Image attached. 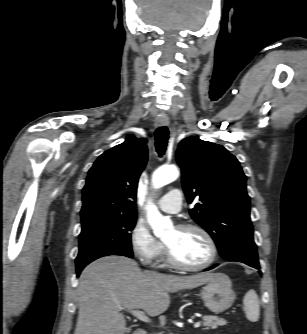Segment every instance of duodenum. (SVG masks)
<instances>
[{
	"instance_id": "duodenum-1",
	"label": "duodenum",
	"mask_w": 307,
	"mask_h": 334,
	"mask_svg": "<svg viewBox=\"0 0 307 334\" xmlns=\"http://www.w3.org/2000/svg\"><path fill=\"white\" fill-rule=\"evenodd\" d=\"M133 334H147L146 331L142 328H137L134 330Z\"/></svg>"
}]
</instances>
